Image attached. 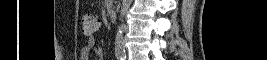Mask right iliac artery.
Segmentation results:
<instances>
[{
    "label": "right iliac artery",
    "instance_id": "82829eb1",
    "mask_svg": "<svg viewBox=\"0 0 267 60\" xmlns=\"http://www.w3.org/2000/svg\"><path fill=\"white\" fill-rule=\"evenodd\" d=\"M116 56H117V59H120L121 60V58H122V55L121 54H118Z\"/></svg>",
    "mask_w": 267,
    "mask_h": 60
}]
</instances>
